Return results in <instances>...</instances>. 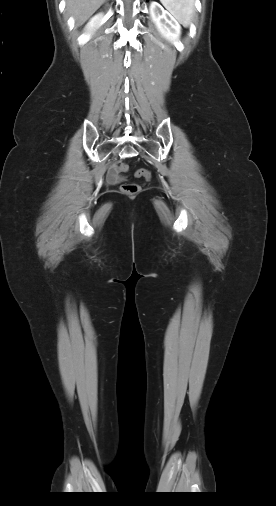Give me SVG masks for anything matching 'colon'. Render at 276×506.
I'll return each mask as SVG.
<instances>
[{
    "instance_id": "5ec220e1",
    "label": "colon",
    "mask_w": 276,
    "mask_h": 506,
    "mask_svg": "<svg viewBox=\"0 0 276 506\" xmlns=\"http://www.w3.org/2000/svg\"><path fill=\"white\" fill-rule=\"evenodd\" d=\"M116 170L119 174L125 175L128 172L129 167L125 163H120L116 166ZM136 176L143 177L145 179H150L151 173L147 169H139L136 172ZM121 189L124 193L129 194V195H135L140 191V187L135 183H124L121 186Z\"/></svg>"
}]
</instances>
